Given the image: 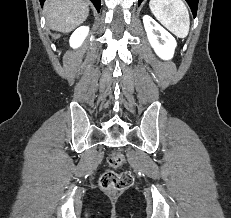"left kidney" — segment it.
<instances>
[{
    "label": "left kidney",
    "instance_id": "obj_1",
    "mask_svg": "<svg viewBox=\"0 0 231 218\" xmlns=\"http://www.w3.org/2000/svg\"><path fill=\"white\" fill-rule=\"evenodd\" d=\"M143 23L155 53L161 59H171L177 45L175 38L149 15L143 16Z\"/></svg>",
    "mask_w": 231,
    "mask_h": 218
}]
</instances>
